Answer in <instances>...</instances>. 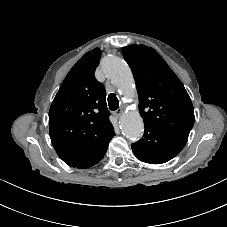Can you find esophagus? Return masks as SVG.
I'll return each mask as SVG.
<instances>
[{
  "instance_id": "obj_1",
  "label": "esophagus",
  "mask_w": 227,
  "mask_h": 227,
  "mask_svg": "<svg viewBox=\"0 0 227 227\" xmlns=\"http://www.w3.org/2000/svg\"><path fill=\"white\" fill-rule=\"evenodd\" d=\"M122 110L121 109H117L116 111H114V115L119 118L122 115Z\"/></svg>"
}]
</instances>
